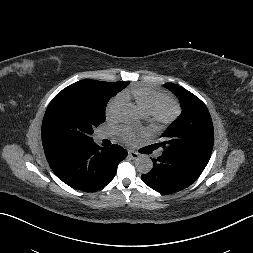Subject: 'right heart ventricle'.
I'll return each instance as SVG.
<instances>
[{
    "label": "right heart ventricle",
    "instance_id": "right-heart-ventricle-1",
    "mask_svg": "<svg viewBox=\"0 0 253 253\" xmlns=\"http://www.w3.org/2000/svg\"><path fill=\"white\" fill-rule=\"evenodd\" d=\"M121 95L124 100H134L138 107L148 115H151L158 105L167 98L163 92L143 86L127 90Z\"/></svg>",
    "mask_w": 253,
    "mask_h": 253
}]
</instances>
